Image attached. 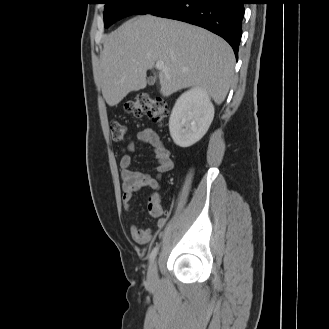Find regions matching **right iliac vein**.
I'll list each match as a JSON object with an SVG mask.
<instances>
[{
  "mask_svg": "<svg viewBox=\"0 0 329 329\" xmlns=\"http://www.w3.org/2000/svg\"><path fill=\"white\" fill-rule=\"evenodd\" d=\"M157 277H158V273H157V264L156 262H153L148 270V274H147V281L149 285H154L157 282Z\"/></svg>",
  "mask_w": 329,
  "mask_h": 329,
  "instance_id": "63e3f726",
  "label": "right iliac vein"
}]
</instances>
